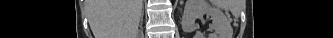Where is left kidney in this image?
I'll use <instances>...</instances> for the list:
<instances>
[{
	"instance_id": "obj_1",
	"label": "left kidney",
	"mask_w": 333,
	"mask_h": 38,
	"mask_svg": "<svg viewBox=\"0 0 333 38\" xmlns=\"http://www.w3.org/2000/svg\"><path fill=\"white\" fill-rule=\"evenodd\" d=\"M211 17L212 23L209 25V31L212 32L208 38H231L232 27L230 20L219 9L211 5L207 0H187L182 16V28L185 32H192L199 29L195 22L197 18L203 15ZM194 38H207L200 30L196 31Z\"/></svg>"
}]
</instances>
